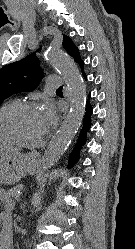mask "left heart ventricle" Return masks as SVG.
I'll use <instances>...</instances> for the list:
<instances>
[{
    "label": "left heart ventricle",
    "instance_id": "1",
    "mask_svg": "<svg viewBox=\"0 0 135 249\" xmlns=\"http://www.w3.org/2000/svg\"><path fill=\"white\" fill-rule=\"evenodd\" d=\"M0 129L24 141L39 139L44 131L38 109H11L0 118Z\"/></svg>",
    "mask_w": 135,
    "mask_h": 249
}]
</instances>
